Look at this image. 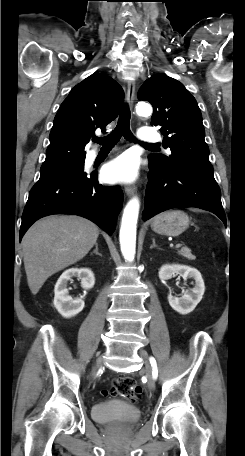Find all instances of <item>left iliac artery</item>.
<instances>
[{"label": "left iliac artery", "mask_w": 245, "mask_h": 456, "mask_svg": "<svg viewBox=\"0 0 245 456\" xmlns=\"http://www.w3.org/2000/svg\"><path fill=\"white\" fill-rule=\"evenodd\" d=\"M150 364L152 366V376L154 379H157L158 377V368H157V363L154 357H150Z\"/></svg>", "instance_id": "left-iliac-artery-1"}]
</instances>
